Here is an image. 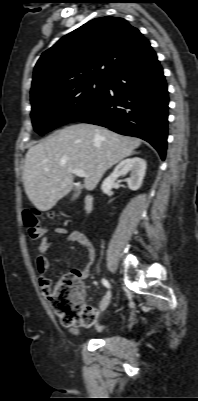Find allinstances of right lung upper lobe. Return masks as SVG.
<instances>
[{"mask_svg":"<svg viewBox=\"0 0 198 401\" xmlns=\"http://www.w3.org/2000/svg\"><path fill=\"white\" fill-rule=\"evenodd\" d=\"M149 47V41L125 19H93L41 55L34 68L31 101L75 84L108 80Z\"/></svg>","mask_w":198,"mask_h":401,"instance_id":"obj_1","label":"right lung upper lobe"}]
</instances>
